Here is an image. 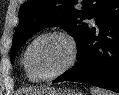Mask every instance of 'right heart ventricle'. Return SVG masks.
I'll return each mask as SVG.
<instances>
[{
	"label": "right heart ventricle",
	"instance_id": "right-heart-ventricle-1",
	"mask_svg": "<svg viewBox=\"0 0 119 95\" xmlns=\"http://www.w3.org/2000/svg\"><path fill=\"white\" fill-rule=\"evenodd\" d=\"M25 71H26V74H27V77L30 79V80H35L34 78H32L29 73L27 72L26 68H25Z\"/></svg>",
	"mask_w": 119,
	"mask_h": 95
}]
</instances>
